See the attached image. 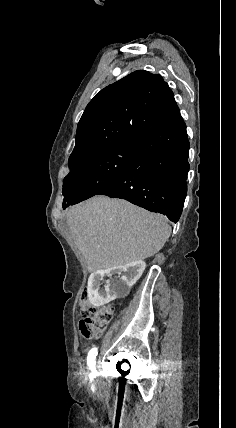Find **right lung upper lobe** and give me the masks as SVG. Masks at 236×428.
<instances>
[{"label": "right lung upper lobe", "instance_id": "1", "mask_svg": "<svg viewBox=\"0 0 236 428\" xmlns=\"http://www.w3.org/2000/svg\"><path fill=\"white\" fill-rule=\"evenodd\" d=\"M178 110L173 92L160 75L132 72L102 89L87 105L69 166L120 142L138 139Z\"/></svg>", "mask_w": 236, "mask_h": 428}]
</instances>
